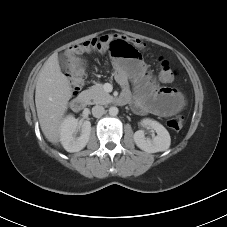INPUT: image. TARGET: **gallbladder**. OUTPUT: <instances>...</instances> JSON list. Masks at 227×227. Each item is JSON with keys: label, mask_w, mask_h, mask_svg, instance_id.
Here are the masks:
<instances>
[{"label": "gallbladder", "mask_w": 227, "mask_h": 227, "mask_svg": "<svg viewBox=\"0 0 227 227\" xmlns=\"http://www.w3.org/2000/svg\"><path fill=\"white\" fill-rule=\"evenodd\" d=\"M58 62L60 64V67L63 69V70H67L68 69V60L67 58L65 57L64 54H61L58 56Z\"/></svg>", "instance_id": "gallbladder-1"}]
</instances>
